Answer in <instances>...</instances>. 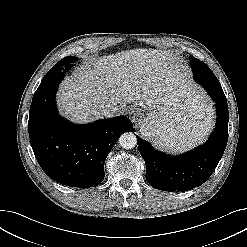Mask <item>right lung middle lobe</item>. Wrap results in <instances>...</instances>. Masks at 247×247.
<instances>
[{"label": "right lung middle lobe", "instance_id": "obj_1", "mask_svg": "<svg viewBox=\"0 0 247 247\" xmlns=\"http://www.w3.org/2000/svg\"><path fill=\"white\" fill-rule=\"evenodd\" d=\"M77 58L75 56L65 57L62 60H60L52 69L62 68V67H68L71 68L73 66V62H75Z\"/></svg>", "mask_w": 247, "mask_h": 247}]
</instances>
